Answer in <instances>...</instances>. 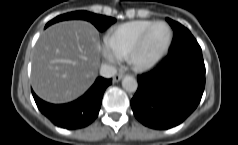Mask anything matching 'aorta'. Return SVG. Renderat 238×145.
Segmentation results:
<instances>
[{
	"mask_svg": "<svg viewBox=\"0 0 238 145\" xmlns=\"http://www.w3.org/2000/svg\"><path fill=\"white\" fill-rule=\"evenodd\" d=\"M122 87L128 92H135L138 88L137 80L132 76H125L122 80Z\"/></svg>",
	"mask_w": 238,
	"mask_h": 145,
	"instance_id": "1",
	"label": "aorta"
}]
</instances>
